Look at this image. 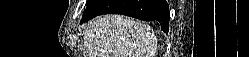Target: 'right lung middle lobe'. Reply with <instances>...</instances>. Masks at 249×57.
I'll return each mask as SVG.
<instances>
[{
  "mask_svg": "<svg viewBox=\"0 0 249 57\" xmlns=\"http://www.w3.org/2000/svg\"><path fill=\"white\" fill-rule=\"evenodd\" d=\"M91 2V0H87L86 5H88Z\"/></svg>",
  "mask_w": 249,
  "mask_h": 57,
  "instance_id": "dd1d6c3e",
  "label": "right lung middle lobe"
}]
</instances>
